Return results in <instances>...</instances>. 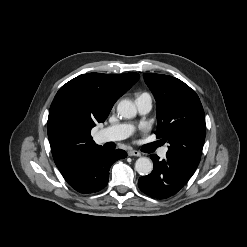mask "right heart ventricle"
<instances>
[{
  "instance_id": "1",
  "label": "right heart ventricle",
  "mask_w": 247,
  "mask_h": 247,
  "mask_svg": "<svg viewBox=\"0 0 247 247\" xmlns=\"http://www.w3.org/2000/svg\"><path fill=\"white\" fill-rule=\"evenodd\" d=\"M144 96H149L147 93H139L137 94V98L144 97Z\"/></svg>"
}]
</instances>
